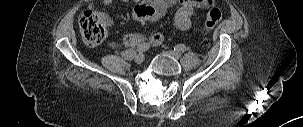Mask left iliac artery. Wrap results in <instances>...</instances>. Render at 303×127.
<instances>
[{
  "label": "left iliac artery",
  "mask_w": 303,
  "mask_h": 127,
  "mask_svg": "<svg viewBox=\"0 0 303 127\" xmlns=\"http://www.w3.org/2000/svg\"><path fill=\"white\" fill-rule=\"evenodd\" d=\"M174 50L179 51V52H184L186 51V47L183 44H179L175 46Z\"/></svg>",
  "instance_id": "obj_1"
}]
</instances>
